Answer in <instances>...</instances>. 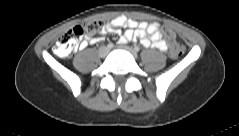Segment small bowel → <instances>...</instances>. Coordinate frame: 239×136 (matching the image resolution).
Returning <instances> with one entry per match:
<instances>
[{"label": "small bowel", "instance_id": "obj_1", "mask_svg": "<svg viewBox=\"0 0 239 136\" xmlns=\"http://www.w3.org/2000/svg\"><path fill=\"white\" fill-rule=\"evenodd\" d=\"M120 28H125L126 30L121 32ZM112 32L120 35V44L139 40L145 47H152L159 51L167 50V43L163 39L158 23L137 22L125 16H118L106 23L101 33L107 34ZM100 41V37H90L83 42V45H94Z\"/></svg>", "mask_w": 239, "mask_h": 136}]
</instances>
